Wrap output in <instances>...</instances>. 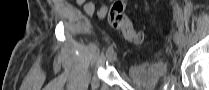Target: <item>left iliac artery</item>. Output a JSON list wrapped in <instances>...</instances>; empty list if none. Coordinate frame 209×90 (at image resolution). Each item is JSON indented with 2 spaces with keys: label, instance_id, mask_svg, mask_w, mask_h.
Returning a JSON list of instances; mask_svg holds the SVG:
<instances>
[{
  "label": "left iliac artery",
  "instance_id": "44dca946",
  "mask_svg": "<svg viewBox=\"0 0 209 90\" xmlns=\"http://www.w3.org/2000/svg\"><path fill=\"white\" fill-rule=\"evenodd\" d=\"M174 10L176 12V18H177V29H181L183 31L184 29V19L183 15L179 14L181 13V8H179V5H174Z\"/></svg>",
  "mask_w": 209,
  "mask_h": 90
}]
</instances>
